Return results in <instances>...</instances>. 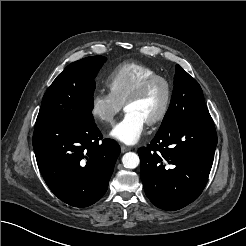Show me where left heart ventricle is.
Wrapping results in <instances>:
<instances>
[{
	"mask_svg": "<svg viewBox=\"0 0 246 246\" xmlns=\"http://www.w3.org/2000/svg\"><path fill=\"white\" fill-rule=\"evenodd\" d=\"M165 100V87L161 82H155L138 100L129 103L126 112H135L146 122L155 117L161 110Z\"/></svg>",
	"mask_w": 246,
	"mask_h": 246,
	"instance_id": "1",
	"label": "left heart ventricle"
}]
</instances>
